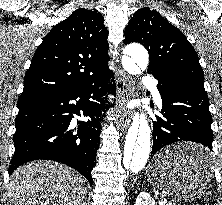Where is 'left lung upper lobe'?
Instances as JSON below:
<instances>
[{
  "label": "left lung upper lobe",
  "instance_id": "obj_1",
  "mask_svg": "<svg viewBox=\"0 0 222 205\" xmlns=\"http://www.w3.org/2000/svg\"><path fill=\"white\" fill-rule=\"evenodd\" d=\"M131 42H138L148 50V72H172L204 86V73L194 48L157 11L145 7L135 12L125 29L124 44Z\"/></svg>",
  "mask_w": 222,
  "mask_h": 205
}]
</instances>
